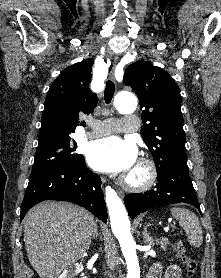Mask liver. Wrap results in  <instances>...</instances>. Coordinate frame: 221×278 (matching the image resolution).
<instances>
[{
  "mask_svg": "<svg viewBox=\"0 0 221 278\" xmlns=\"http://www.w3.org/2000/svg\"><path fill=\"white\" fill-rule=\"evenodd\" d=\"M24 242L40 278H58L89 249L97 230L94 216L67 202L45 201L24 217Z\"/></svg>",
  "mask_w": 221,
  "mask_h": 278,
  "instance_id": "liver-1",
  "label": "liver"
}]
</instances>
